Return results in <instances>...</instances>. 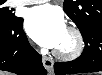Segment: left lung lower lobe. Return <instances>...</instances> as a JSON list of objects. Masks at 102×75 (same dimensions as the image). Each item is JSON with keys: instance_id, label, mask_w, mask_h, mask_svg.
I'll use <instances>...</instances> for the list:
<instances>
[{"instance_id": "0a47b994", "label": "left lung lower lobe", "mask_w": 102, "mask_h": 75, "mask_svg": "<svg viewBox=\"0 0 102 75\" xmlns=\"http://www.w3.org/2000/svg\"><path fill=\"white\" fill-rule=\"evenodd\" d=\"M85 48L80 57L69 62H56V75L102 71V26L93 25L80 30Z\"/></svg>"}]
</instances>
